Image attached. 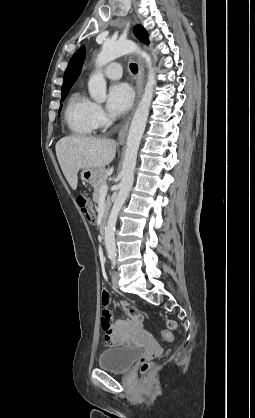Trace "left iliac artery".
Instances as JSON below:
<instances>
[{"label": "left iliac artery", "instance_id": "44dca946", "mask_svg": "<svg viewBox=\"0 0 255 418\" xmlns=\"http://www.w3.org/2000/svg\"><path fill=\"white\" fill-rule=\"evenodd\" d=\"M110 259L112 261V268H114L115 264H116V258H115V256H112V257H110Z\"/></svg>", "mask_w": 255, "mask_h": 418}]
</instances>
